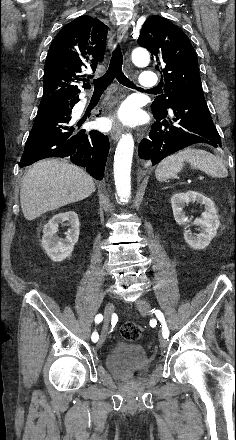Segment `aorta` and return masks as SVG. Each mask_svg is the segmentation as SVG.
<instances>
[{
    "label": "aorta",
    "mask_w": 236,
    "mask_h": 440,
    "mask_svg": "<svg viewBox=\"0 0 236 440\" xmlns=\"http://www.w3.org/2000/svg\"><path fill=\"white\" fill-rule=\"evenodd\" d=\"M132 62L138 67L147 66L150 56L146 49L137 47L131 54ZM134 152V139L130 133L120 138L114 156V180L120 201L127 203L131 195V164Z\"/></svg>",
    "instance_id": "762f6f07"
}]
</instances>
